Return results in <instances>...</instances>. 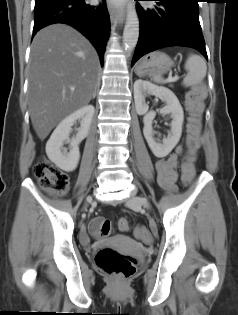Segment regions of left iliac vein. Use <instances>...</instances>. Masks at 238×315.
Returning <instances> with one entry per match:
<instances>
[{
	"mask_svg": "<svg viewBox=\"0 0 238 315\" xmlns=\"http://www.w3.org/2000/svg\"><path fill=\"white\" fill-rule=\"evenodd\" d=\"M126 204L127 206L131 207V208H137V207H144L146 209H149V203L147 201V199L140 197V196H136V195H132L130 196L127 200H126Z\"/></svg>",
	"mask_w": 238,
	"mask_h": 315,
	"instance_id": "left-iliac-vein-1",
	"label": "left iliac vein"
}]
</instances>
